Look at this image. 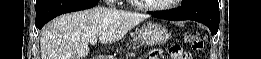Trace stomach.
Segmentation results:
<instances>
[{
  "instance_id": "obj_1",
  "label": "stomach",
  "mask_w": 261,
  "mask_h": 59,
  "mask_svg": "<svg viewBox=\"0 0 261 59\" xmlns=\"http://www.w3.org/2000/svg\"><path fill=\"white\" fill-rule=\"evenodd\" d=\"M170 38L168 30L161 24L148 22L138 31V36L134 39V47L139 45H162Z\"/></svg>"
}]
</instances>
